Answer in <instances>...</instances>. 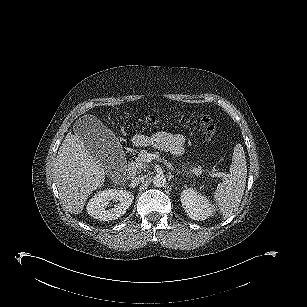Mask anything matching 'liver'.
Wrapping results in <instances>:
<instances>
[{
    "mask_svg": "<svg viewBox=\"0 0 307 307\" xmlns=\"http://www.w3.org/2000/svg\"><path fill=\"white\" fill-rule=\"evenodd\" d=\"M105 172L107 166L86 148L81 136L69 132L53 166L54 181L67 211L75 215L82 212L88 196L104 184Z\"/></svg>",
    "mask_w": 307,
    "mask_h": 307,
    "instance_id": "obj_1",
    "label": "liver"
}]
</instances>
